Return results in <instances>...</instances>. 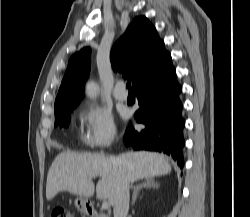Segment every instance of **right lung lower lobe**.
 <instances>
[{
    "label": "right lung lower lobe",
    "instance_id": "98d812e1",
    "mask_svg": "<svg viewBox=\"0 0 250 217\" xmlns=\"http://www.w3.org/2000/svg\"><path fill=\"white\" fill-rule=\"evenodd\" d=\"M140 108L134 118L145 125L141 131L132 126L126 130L124 143L134 149L164 152L184 166L182 148L185 144L182 117V102L179 94L182 87L176 80V70L170 54L160 66L140 81L135 87Z\"/></svg>",
    "mask_w": 250,
    "mask_h": 217
}]
</instances>
